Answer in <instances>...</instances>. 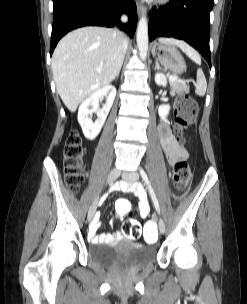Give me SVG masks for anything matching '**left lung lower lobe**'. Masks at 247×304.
Masks as SVG:
<instances>
[{
  "instance_id": "1",
  "label": "left lung lower lobe",
  "mask_w": 247,
  "mask_h": 304,
  "mask_svg": "<svg viewBox=\"0 0 247 304\" xmlns=\"http://www.w3.org/2000/svg\"><path fill=\"white\" fill-rule=\"evenodd\" d=\"M214 0H170L165 9L149 13V37L182 39L197 49L211 67L210 12Z\"/></svg>"
}]
</instances>
